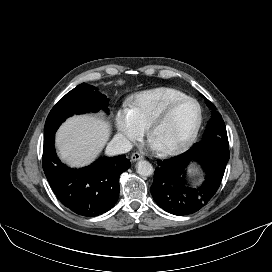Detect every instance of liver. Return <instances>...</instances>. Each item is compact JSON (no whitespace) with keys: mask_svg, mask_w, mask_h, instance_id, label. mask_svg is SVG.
Wrapping results in <instances>:
<instances>
[{"mask_svg":"<svg viewBox=\"0 0 272 272\" xmlns=\"http://www.w3.org/2000/svg\"><path fill=\"white\" fill-rule=\"evenodd\" d=\"M110 125L96 115L68 119L56 134L60 158L70 166L82 167L102 151L110 136Z\"/></svg>","mask_w":272,"mask_h":272,"instance_id":"obj_1","label":"liver"}]
</instances>
